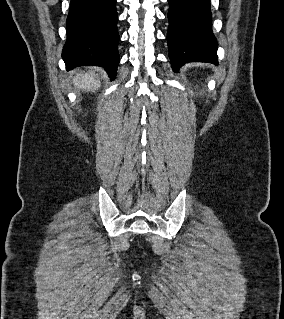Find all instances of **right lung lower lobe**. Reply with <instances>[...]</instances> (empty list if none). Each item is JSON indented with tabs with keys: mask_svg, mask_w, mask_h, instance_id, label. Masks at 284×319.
I'll return each instance as SVG.
<instances>
[{
	"mask_svg": "<svg viewBox=\"0 0 284 319\" xmlns=\"http://www.w3.org/2000/svg\"><path fill=\"white\" fill-rule=\"evenodd\" d=\"M116 0H71L62 58L68 70L103 67L115 79L119 64Z\"/></svg>",
	"mask_w": 284,
	"mask_h": 319,
	"instance_id": "98d812e1",
	"label": "right lung lower lobe"
}]
</instances>
